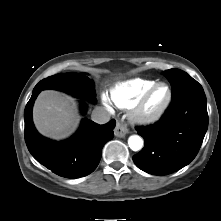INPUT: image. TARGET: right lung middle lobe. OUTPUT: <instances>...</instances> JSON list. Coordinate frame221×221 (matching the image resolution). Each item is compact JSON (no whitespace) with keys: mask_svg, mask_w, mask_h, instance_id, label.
<instances>
[{"mask_svg":"<svg viewBox=\"0 0 221 221\" xmlns=\"http://www.w3.org/2000/svg\"><path fill=\"white\" fill-rule=\"evenodd\" d=\"M34 89H56L88 101H95L94 85L85 75L57 74L41 80Z\"/></svg>","mask_w":221,"mask_h":221,"instance_id":"right-lung-middle-lobe-1","label":"right lung middle lobe"}]
</instances>
